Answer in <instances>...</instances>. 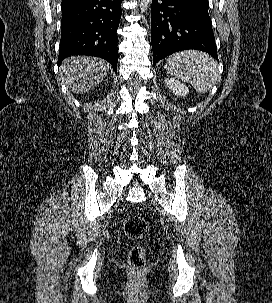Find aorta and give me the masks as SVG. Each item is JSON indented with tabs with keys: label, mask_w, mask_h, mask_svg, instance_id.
I'll list each match as a JSON object with an SVG mask.
<instances>
[{
	"label": "aorta",
	"mask_w": 272,
	"mask_h": 303,
	"mask_svg": "<svg viewBox=\"0 0 272 303\" xmlns=\"http://www.w3.org/2000/svg\"><path fill=\"white\" fill-rule=\"evenodd\" d=\"M138 1H139L141 13L146 12L149 9L150 4L152 2V0H138Z\"/></svg>",
	"instance_id": "1"
}]
</instances>
